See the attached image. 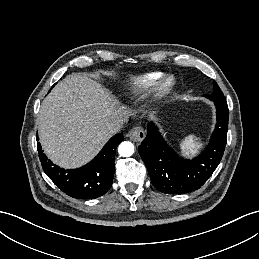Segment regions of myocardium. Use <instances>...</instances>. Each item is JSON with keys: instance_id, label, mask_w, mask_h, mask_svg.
<instances>
[{"instance_id": "1", "label": "myocardium", "mask_w": 259, "mask_h": 259, "mask_svg": "<svg viewBox=\"0 0 259 259\" xmlns=\"http://www.w3.org/2000/svg\"><path fill=\"white\" fill-rule=\"evenodd\" d=\"M175 86V80L171 76H166L157 81L152 90V97L155 101H161L171 93Z\"/></svg>"}]
</instances>
